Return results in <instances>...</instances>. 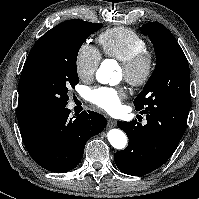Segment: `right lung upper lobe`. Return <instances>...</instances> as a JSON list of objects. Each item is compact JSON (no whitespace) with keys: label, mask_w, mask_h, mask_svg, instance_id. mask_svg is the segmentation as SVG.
Segmentation results:
<instances>
[{"label":"right lung upper lobe","mask_w":199,"mask_h":199,"mask_svg":"<svg viewBox=\"0 0 199 199\" xmlns=\"http://www.w3.org/2000/svg\"><path fill=\"white\" fill-rule=\"evenodd\" d=\"M41 118V116H38L18 106L17 119L20 126L21 135L30 131L40 121Z\"/></svg>","instance_id":"cb5924a9"}]
</instances>
